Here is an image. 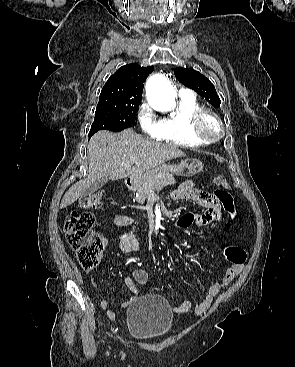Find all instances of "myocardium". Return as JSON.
<instances>
[{"mask_svg": "<svg viewBox=\"0 0 295 367\" xmlns=\"http://www.w3.org/2000/svg\"><path fill=\"white\" fill-rule=\"evenodd\" d=\"M212 119L215 121V123L218 126L217 133L211 135L209 134L205 129V122L207 119ZM190 128L192 134L204 141L205 143H213L218 141L220 138H222L224 134V124L221 120V118L218 116L217 113H215L213 110L208 108H200L198 111H196L190 121Z\"/></svg>", "mask_w": 295, "mask_h": 367, "instance_id": "myocardium-1", "label": "myocardium"}]
</instances>
